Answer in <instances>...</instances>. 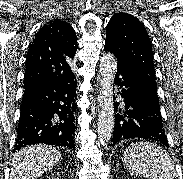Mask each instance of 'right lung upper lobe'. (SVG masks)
I'll return each mask as SVG.
<instances>
[{
  "mask_svg": "<svg viewBox=\"0 0 183 179\" xmlns=\"http://www.w3.org/2000/svg\"><path fill=\"white\" fill-rule=\"evenodd\" d=\"M77 48L75 30L69 23L55 20L44 25L27 52L24 87L37 81L67 82L75 79L71 65Z\"/></svg>",
  "mask_w": 183,
  "mask_h": 179,
  "instance_id": "obj_1",
  "label": "right lung upper lobe"
}]
</instances>
